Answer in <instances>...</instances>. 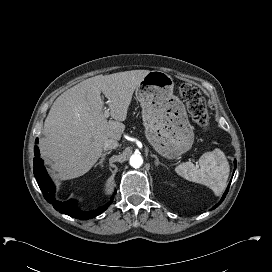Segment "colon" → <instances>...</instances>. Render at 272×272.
I'll return each instance as SVG.
<instances>
[{"instance_id":"obj_1","label":"colon","mask_w":272,"mask_h":272,"mask_svg":"<svg viewBox=\"0 0 272 272\" xmlns=\"http://www.w3.org/2000/svg\"><path fill=\"white\" fill-rule=\"evenodd\" d=\"M179 95L186 104L192 119L201 127H208V114L206 103L199 90L191 84H182Z\"/></svg>"}]
</instances>
